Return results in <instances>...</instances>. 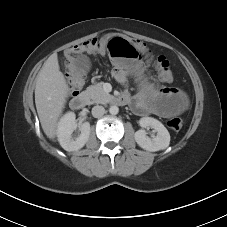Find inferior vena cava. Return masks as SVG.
I'll return each instance as SVG.
<instances>
[{
	"mask_svg": "<svg viewBox=\"0 0 227 227\" xmlns=\"http://www.w3.org/2000/svg\"><path fill=\"white\" fill-rule=\"evenodd\" d=\"M105 112H106V111H105V109H104L103 106L97 105V106H94V107L92 108V115H93L95 118L101 117L102 115L105 114Z\"/></svg>",
	"mask_w": 227,
	"mask_h": 227,
	"instance_id": "inferior-vena-cava-1",
	"label": "inferior vena cava"
}]
</instances>
